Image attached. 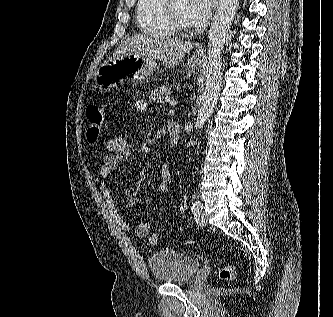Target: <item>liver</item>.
<instances>
[{"label":"liver","mask_w":333,"mask_h":317,"mask_svg":"<svg viewBox=\"0 0 333 317\" xmlns=\"http://www.w3.org/2000/svg\"><path fill=\"white\" fill-rule=\"evenodd\" d=\"M192 42L167 37L133 34L126 36L118 45L113 58L139 54L149 60L163 63L169 68L177 66L193 48Z\"/></svg>","instance_id":"1"}]
</instances>
